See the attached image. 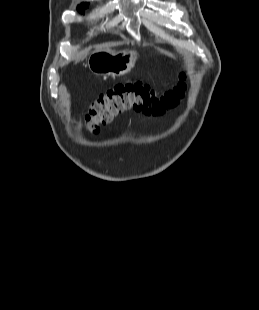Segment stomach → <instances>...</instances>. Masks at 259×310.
<instances>
[{
	"mask_svg": "<svg viewBox=\"0 0 259 310\" xmlns=\"http://www.w3.org/2000/svg\"><path fill=\"white\" fill-rule=\"evenodd\" d=\"M136 59V51L100 49L89 56L88 67L95 74L122 76L131 71Z\"/></svg>",
	"mask_w": 259,
	"mask_h": 310,
	"instance_id": "1",
	"label": "stomach"
}]
</instances>
